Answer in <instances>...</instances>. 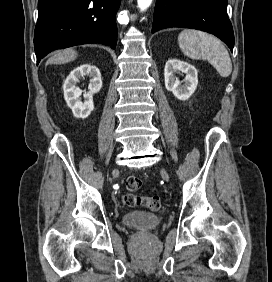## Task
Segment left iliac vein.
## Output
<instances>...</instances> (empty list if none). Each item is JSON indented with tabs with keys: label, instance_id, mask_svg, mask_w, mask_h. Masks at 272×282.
<instances>
[{
	"label": "left iliac vein",
	"instance_id": "left-iliac-vein-1",
	"mask_svg": "<svg viewBox=\"0 0 272 282\" xmlns=\"http://www.w3.org/2000/svg\"><path fill=\"white\" fill-rule=\"evenodd\" d=\"M161 173H162V176H163V178H164L165 180H168V179H169L168 173L166 172L165 169H162V170H161Z\"/></svg>",
	"mask_w": 272,
	"mask_h": 282
}]
</instances>
